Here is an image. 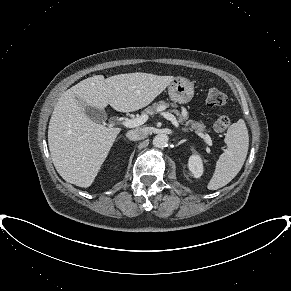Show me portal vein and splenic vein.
Segmentation results:
<instances>
[{"mask_svg": "<svg viewBox=\"0 0 291 291\" xmlns=\"http://www.w3.org/2000/svg\"><path fill=\"white\" fill-rule=\"evenodd\" d=\"M162 115L164 116V118H166L167 120L171 121V123L176 128H180L179 123L176 120L174 115H172L171 113H168V112H164V113H162ZM147 120H148V115L144 114V115H142V116H140L138 118L125 119L122 122V125L127 127V128H134V127H138V126L144 124ZM202 137L204 138L205 142L209 146H212V140H211V138H210V136L208 134H202Z\"/></svg>", "mask_w": 291, "mask_h": 291, "instance_id": "18ae733b", "label": "portal vein and splenic vein"}]
</instances>
